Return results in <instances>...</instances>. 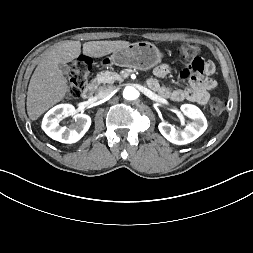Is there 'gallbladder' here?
Segmentation results:
<instances>
[{
    "instance_id": "bac80fb5",
    "label": "gallbladder",
    "mask_w": 253,
    "mask_h": 253,
    "mask_svg": "<svg viewBox=\"0 0 253 253\" xmlns=\"http://www.w3.org/2000/svg\"><path fill=\"white\" fill-rule=\"evenodd\" d=\"M58 67L61 70V72L65 75L68 74L69 71H70V68L67 64L61 63V64L58 65Z\"/></svg>"
}]
</instances>
